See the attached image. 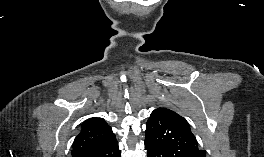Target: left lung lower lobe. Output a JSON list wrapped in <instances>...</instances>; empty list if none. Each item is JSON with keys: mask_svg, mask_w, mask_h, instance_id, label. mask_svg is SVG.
I'll list each match as a JSON object with an SVG mask.
<instances>
[{"mask_svg": "<svg viewBox=\"0 0 264 157\" xmlns=\"http://www.w3.org/2000/svg\"><path fill=\"white\" fill-rule=\"evenodd\" d=\"M145 150H147V157H164L163 151L153 144L145 142Z\"/></svg>", "mask_w": 264, "mask_h": 157, "instance_id": "obj_1", "label": "left lung lower lobe"}]
</instances>
